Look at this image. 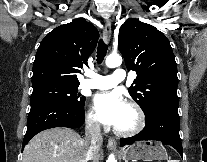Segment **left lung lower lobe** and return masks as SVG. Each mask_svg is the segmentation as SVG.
<instances>
[{"label": "left lung lower lobe", "mask_w": 207, "mask_h": 162, "mask_svg": "<svg viewBox=\"0 0 207 162\" xmlns=\"http://www.w3.org/2000/svg\"><path fill=\"white\" fill-rule=\"evenodd\" d=\"M179 129L178 103H158L146 115V126L143 131L133 137L122 138L120 145L125 146L140 140H156L171 145L182 156Z\"/></svg>", "instance_id": "1"}]
</instances>
